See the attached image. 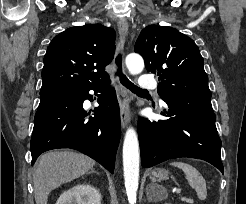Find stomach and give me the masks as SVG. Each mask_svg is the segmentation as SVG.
Returning <instances> with one entry per match:
<instances>
[{"instance_id":"stomach-1","label":"stomach","mask_w":246,"mask_h":204,"mask_svg":"<svg viewBox=\"0 0 246 204\" xmlns=\"http://www.w3.org/2000/svg\"><path fill=\"white\" fill-rule=\"evenodd\" d=\"M168 177V171L162 168L154 169L150 173V179L153 182H160Z\"/></svg>"}]
</instances>
